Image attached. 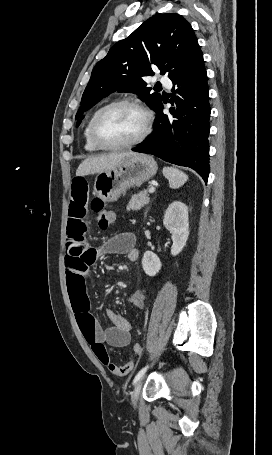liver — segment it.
Listing matches in <instances>:
<instances>
[{"instance_id": "1", "label": "liver", "mask_w": 272, "mask_h": 455, "mask_svg": "<svg viewBox=\"0 0 272 455\" xmlns=\"http://www.w3.org/2000/svg\"><path fill=\"white\" fill-rule=\"evenodd\" d=\"M134 154L136 153H113L87 158L78 166L76 170V176L81 177L89 174L109 171L117 167L127 157H130Z\"/></svg>"}]
</instances>
